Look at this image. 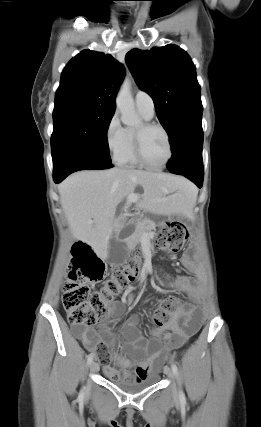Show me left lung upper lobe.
Returning <instances> with one entry per match:
<instances>
[{
	"instance_id": "1",
	"label": "left lung upper lobe",
	"mask_w": 261,
	"mask_h": 427,
	"mask_svg": "<svg viewBox=\"0 0 261 427\" xmlns=\"http://www.w3.org/2000/svg\"><path fill=\"white\" fill-rule=\"evenodd\" d=\"M126 63L139 88L152 97L171 143L182 129L201 123L200 85L195 66L183 49L172 44L150 51L132 49Z\"/></svg>"
}]
</instances>
